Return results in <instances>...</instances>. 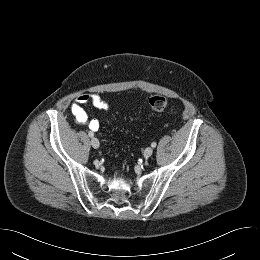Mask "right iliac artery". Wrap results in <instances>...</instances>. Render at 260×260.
I'll return each mask as SVG.
<instances>
[{"label": "right iliac artery", "mask_w": 260, "mask_h": 260, "mask_svg": "<svg viewBox=\"0 0 260 260\" xmlns=\"http://www.w3.org/2000/svg\"><path fill=\"white\" fill-rule=\"evenodd\" d=\"M88 135H89V137H93L94 136L93 132H91V131L88 133Z\"/></svg>", "instance_id": "1"}]
</instances>
